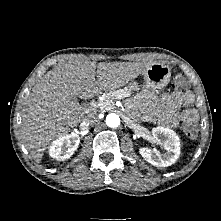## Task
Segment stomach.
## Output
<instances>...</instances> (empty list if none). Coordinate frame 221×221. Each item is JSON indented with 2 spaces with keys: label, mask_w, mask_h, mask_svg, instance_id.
<instances>
[{
  "label": "stomach",
  "mask_w": 221,
  "mask_h": 221,
  "mask_svg": "<svg viewBox=\"0 0 221 221\" xmlns=\"http://www.w3.org/2000/svg\"><path fill=\"white\" fill-rule=\"evenodd\" d=\"M171 70L162 63H153L143 72L142 91L146 94H159L169 83ZM131 91L139 90L137 87L130 88Z\"/></svg>",
  "instance_id": "stomach-1"
}]
</instances>
